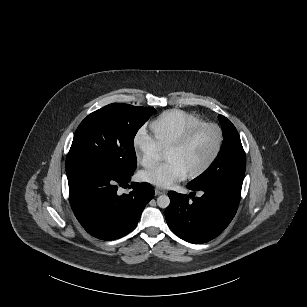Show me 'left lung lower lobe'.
<instances>
[{"label": "left lung lower lobe", "mask_w": 307, "mask_h": 307, "mask_svg": "<svg viewBox=\"0 0 307 307\" xmlns=\"http://www.w3.org/2000/svg\"><path fill=\"white\" fill-rule=\"evenodd\" d=\"M204 192L202 197L170 191V205L165 210L169 228L183 240L201 244L208 242L229 225L240 201L241 190L227 185H209L192 189Z\"/></svg>", "instance_id": "0a47b994"}]
</instances>
